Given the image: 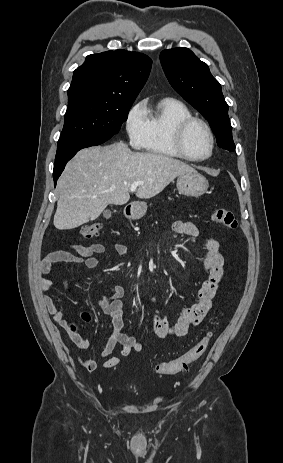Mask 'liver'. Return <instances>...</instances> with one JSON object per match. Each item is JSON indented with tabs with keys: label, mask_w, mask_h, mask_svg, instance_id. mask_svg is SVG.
I'll list each match as a JSON object with an SVG mask.
<instances>
[{
	"label": "liver",
	"mask_w": 283,
	"mask_h": 463,
	"mask_svg": "<svg viewBox=\"0 0 283 463\" xmlns=\"http://www.w3.org/2000/svg\"><path fill=\"white\" fill-rule=\"evenodd\" d=\"M195 172L188 164L171 157L133 152L123 142L79 151L69 161L57 182L59 200L54 226L77 228L97 219L109 204L124 205L133 182L136 196L149 199L176 177Z\"/></svg>",
	"instance_id": "1"
}]
</instances>
